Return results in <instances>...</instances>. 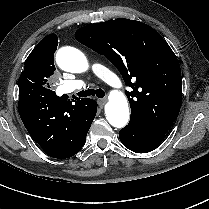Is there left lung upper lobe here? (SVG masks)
Instances as JSON below:
<instances>
[{"label":"left lung upper lobe","mask_w":209,"mask_h":209,"mask_svg":"<svg viewBox=\"0 0 209 209\" xmlns=\"http://www.w3.org/2000/svg\"><path fill=\"white\" fill-rule=\"evenodd\" d=\"M78 42L104 55L121 73L131 117L166 134L181 107V69L162 36L139 21L118 18L78 29Z\"/></svg>","instance_id":"obj_1"}]
</instances>
